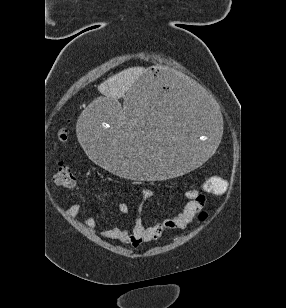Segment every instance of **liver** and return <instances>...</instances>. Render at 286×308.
<instances>
[{"mask_svg":"<svg viewBox=\"0 0 286 308\" xmlns=\"http://www.w3.org/2000/svg\"><path fill=\"white\" fill-rule=\"evenodd\" d=\"M144 71L142 67H133L123 70L101 83L98 86V90L109 102H117L121 97L125 99V94ZM126 115L125 112H121L118 116L120 124L124 125L127 123Z\"/></svg>","mask_w":286,"mask_h":308,"instance_id":"1","label":"liver"}]
</instances>
